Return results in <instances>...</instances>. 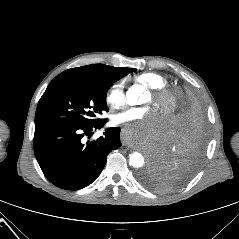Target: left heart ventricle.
<instances>
[{
	"label": "left heart ventricle",
	"mask_w": 239,
	"mask_h": 239,
	"mask_svg": "<svg viewBox=\"0 0 239 239\" xmlns=\"http://www.w3.org/2000/svg\"><path fill=\"white\" fill-rule=\"evenodd\" d=\"M144 102L145 103H151L152 102V98H151V95L149 93L146 95V98H145Z\"/></svg>",
	"instance_id": "b2bd125f"
}]
</instances>
